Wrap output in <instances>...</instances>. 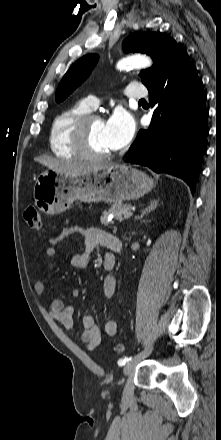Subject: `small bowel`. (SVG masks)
I'll use <instances>...</instances> for the list:
<instances>
[{
  "label": "small bowel",
  "mask_w": 221,
  "mask_h": 440,
  "mask_svg": "<svg viewBox=\"0 0 221 440\" xmlns=\"http://www.w3.org/2000/svg\"><path fill=\"white\" fill-rule=\"evenodd\" d=\"M79 232L83 237V250L76 253L71 258V265L75 268H86L89 261L91 252L98 246L103 248H110V242L115 238L111 234L106 233L96 228L82 229L79 227H69L62 230V232L55 237L49 239L50 244L56 245L62 242L70 235ZM55 255V249L49 247L45 251L44 271L47 272V260ZM114 258L110 253H105L104 262L107 259ZM116 289V279L112 275L105 277L102 283V295L105 299H110ZM34 290L37 294H43L45 292V284L43 281H36L34 284ZM73 297L79 296L78 290L72 291ZM49 313L53 319L61 324L67 331H72L74 327L73 316L74 307L70 304L64 303L60 299H53L49 303ZM82 324L84 327L83 332L80 335V340L89 349H95L102 343V334L100 329L95 324L93 315L86 314L82 317ZM105 334L109 337H113L117 333V322L114 318H109L104 326Z\"/></svg>",
  "instance_id": "small-bowel-1"
}]
</instances>
